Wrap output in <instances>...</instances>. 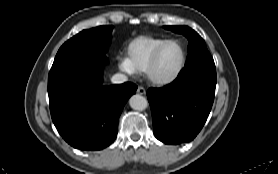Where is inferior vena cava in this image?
Masks as SVG:
<instances>
[{
    "label": "inferior vena cava",
    "instance_id": "obj_1",
    "mask_svg": "<svg viewBox=\"0 0 278 174\" xmlns=\"http://www.w3.org/2000/svg\"><path fill=\"white\" fill-rule=\"evenodd\" d=\"M128 80L127 76L121 73L114 74L111 78L113 84H122Z\"/></svg>",
    "mask_w": 278,
    "mask_h": 174
}]
</instances>
